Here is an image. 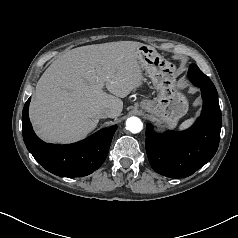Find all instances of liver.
<instances>
[{"instance_id":"1","label":"liver","mask_w":238,"mask_h":238,"mask_svg":"<svg viewBox=\"0 0 238 238\" xmlns=\"http://www.w3.org/2000/svg\"><path fill=\"white\" fill-rule=\"evenodd\" d=\"M118 41L72 49L57 58L39 79L29 115L37 135L48 142L71 143L98 124V111L118 117L123 101L144 81L137 48ZM106 88L111 94L106 93Z\"/></svg>"}]
</instances>
